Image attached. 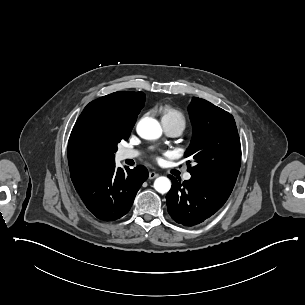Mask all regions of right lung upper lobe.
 I'll use <instances>...</instances> for the list:
<instances>
[{
	"label": "right lung upper lobe",
	"mask_w": 305,
	"mask_h": 305,
	"mask_svg": "<svg viewBox=\"0 0 305 305\" xmlns=\"http://www.w3.org/2000/svg\"><path fill=\"white\" fill-rule=\"evenodd\" d=\"M143 92L118 91L90 102L77 119L68 142L72 181L109 165L102 135L131 131L144 106Z\"/></svg>",
	"instance_id": "obj_1"
}]
</instances>
